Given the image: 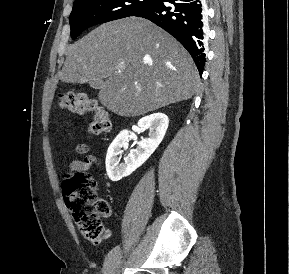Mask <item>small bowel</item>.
Returning a JSON list of instances; mask_svg holds the SVG:
<instances>
[{
  "label": "small bowel",
  "mask_w": 289,
  "mask_h": 274,
  "mask_svg": "<svg viewBox=\"0 0 289 274\" xmlns=\"http://www.w3.org/2000/svg\"><path fill=\"white\" fill-rule=\"evenodd\" d=\"M75 151L78 154L85 155L82 159L73 160L68 165V172H85L89 170L92 166H98L100 164L99 159L92 155L88 154L90 147L87 144H78L75 147Z\"/></svg>",
  "instance_id": "1"
}]
</instances>
